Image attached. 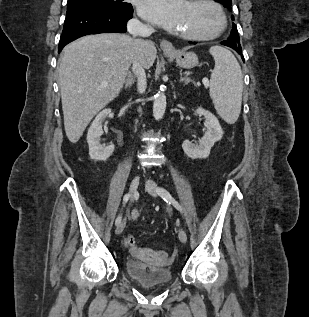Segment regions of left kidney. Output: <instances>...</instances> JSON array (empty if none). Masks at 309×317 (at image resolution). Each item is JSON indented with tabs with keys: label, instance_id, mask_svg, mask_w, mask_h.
<instances>
[{
	"label": "left kidney",
	"instance_id": "obj_1",
	"mask_svg": "<svg viewBox=\"0 0 309 317\" xmlns=\"http://www.w3.org/2000/svg\"><path fill=\"white\" fill-rule=\"evenodd\" d=\"M195 112L198 115L204 116V124L207 131L201 140H199V144H193L189 140H185L182 143V148L188 157L192 159H204L209 156L210 150L214 146L215 142L221 140L223 130L218 119L211 112L201 107Z\"/></svg>",
	"mask_w": 309,
	"mask_h": 317
}]
</instances>
